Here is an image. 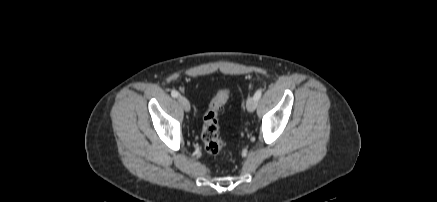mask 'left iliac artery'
I'll use <instances>...</instances> for the list:
<instances>
[{
	"label": "left iliac artery",
	"instance_id": "left-iliac-artery-1",
	"mask_svg": "<svg viewBox=\"0 0 437 202\" xmlns=\"http://www.w3.org/2000/svg\"><path fill=\"white\" fill-rule=\"evenodd\" d=\"M261 95H262V90L259 89L255 92L254 98L258 101L260 99Z\"/></svg>",
	"mask_w": 437,
	"mask_h": 202
}]
</instances>
